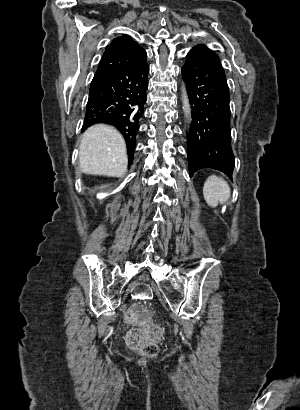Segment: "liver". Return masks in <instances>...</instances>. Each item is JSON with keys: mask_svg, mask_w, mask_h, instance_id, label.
Wrapping results in <instances>:
<instances>
[{"mask_svg": "<svg viewBox=\"0 0 300 410\" xmlns=\"http://www.w3.org/2000/svg\"><path fill=\"white\" fill-rule=\"evenodd\" d=\"M127 164L125 140L114 127L96 124L84 132L79 147V166L83 173L122 177Z\"/></svg>", "mask_w": 300, "mask_h": 410, "instance_id": "6515ba94", "label": "liver"}]
</instances>
